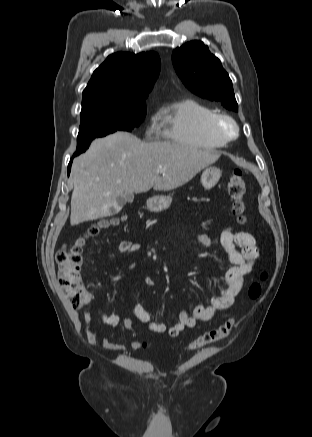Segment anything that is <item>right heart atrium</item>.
Instances as JSON below:
<instances>
[{"instance_id":"right-heart-atrium-1","label":"right heart atrium","mask_w":312,"mask_h":437,"mask_svg":"<svg viewBox=\"0 0 312 437\" xmlns=\"http://www.w3.org/2000/svg\"><path fill=\"white\" fill-rule=\"evenodd\" d=\"M145 135L148 138L154 139L160 136V131L157 126V117L151 116L145 129Z\"/></svg>"}]
</instances>
